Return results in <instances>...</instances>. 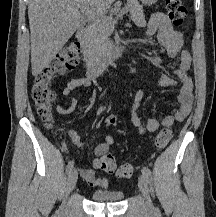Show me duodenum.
<instances>
[{
    "mask_svg": "<svg viewBox=\"0 0 216 217\" xmlns=\"http://www.w3.org/2000/svg\"><path fill=\"white\" fill-rule=\"evenodd\" d=\"M77 37L82 44H85L87 41V28L83 27L78 30ZM128 42L129 40L110 47L103 57H100L95 52H89L86 55L88 75L92 77L104 71L114 60L126 51Z\"/></svg>",
    "mask_w": 216,
    "mask_h": 217,
    "instance_id": "duodenum-1",
    "label": "duodenum"
}]
</instances>
